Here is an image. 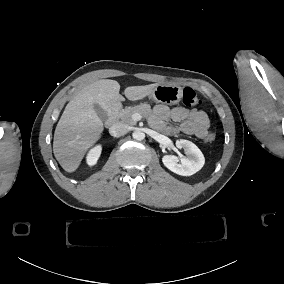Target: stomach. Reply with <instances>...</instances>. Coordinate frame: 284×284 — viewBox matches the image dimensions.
Here are the masks:
<instances>
[{"label": "stomach", "instance_id": "obj_1", "mask_svg": "<svg viewBox=\"0 0 284 284\" xmlns=\"http://www.w3.org/2000/svg\"><path fill=\"white\" fill-rule=\"evenodd\" d=\"M151 96L158 103L176 105L183 97V88L178 85L160 84L154 89Z\"/></svg>", "mask_w": 284, "mask_h": 284}]
</instances>
